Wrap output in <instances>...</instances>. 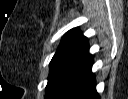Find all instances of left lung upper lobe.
<instances>
[{"label": "left lung upper lobe", "instance_id": "obj_1", "mask_svg": "<svg viewBox=\"0 0 128 99\" xmlns=\"http://www.w3.org/2000/svg\"><path fill=\"white\" fill-rule=\"evenodd\" d=\"M87 42L88 39L79 32L78 28H73L65 34L62 43L59 45L58 50L50 62V74L46 89L58 69L87 44Z\"/></svg>", "mask_w": 128, "mask_h": 99}]
</instances>
